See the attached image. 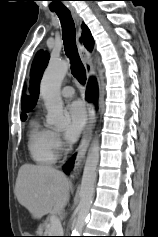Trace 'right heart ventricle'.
Returning a JSON list of instances; mask_svg holds the SVG:
<instances>
[{
    "mask_svg": "<svg viewBox=\"0 0 158 237\" xmlns=\"http://www.w3.org/2000/svg\"><path fill=\"white\" fill-rule=\"evenodd\" d=\"M53 132L36 119L32 120L28 130V150L32 159L41 165H51L57 159L52 138Z\"/></svg>",
    "mask_w": 158,
    "mask_h": 237,
    "instance_id": "obj_1",
    "label": "right heart ventricle"
}]
</instances>
